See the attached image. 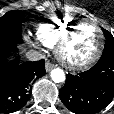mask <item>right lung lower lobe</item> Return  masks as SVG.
Masks as SVG:
<instances>
[{"label": "right lung lower lobe", "instance_id": "right-lung-lower-lobe-1", "mask_svg": "<svg viewBox=\"0 0 114 114\" xmlns=\"http://www.w3.org/2000/svg\"><path fill=\"white\" fill-rule=\"evenodd\" d=\"M15 47V42L0 41V113L23 108L31 95V83L46 73L44 60L6 63V55Z\"/></svg>", "mask_w": 114, "mask_h": 114}]
</instances>
